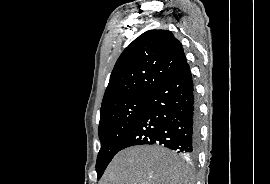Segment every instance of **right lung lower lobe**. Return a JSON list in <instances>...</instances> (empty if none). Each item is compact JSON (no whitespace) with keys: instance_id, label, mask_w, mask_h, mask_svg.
Masks as SVG:
<instances>
[{"instance_id":"98d812e1","label":"right lung lower lobe","mask_w":270,"mask_h":184,"mask_svg":"<svg viewBox=\"0 0 270 184\" xmlns=\"http://www.w3.org/2000/svg\"><path fill=\"white\" fill-rule=\"evenodd\" d=\"M198 138V109L190 67L186 63L147 96L140 115L118 150L134 145L162 144L194 155Z\"/></svg>"}]
</instances>
